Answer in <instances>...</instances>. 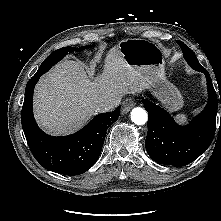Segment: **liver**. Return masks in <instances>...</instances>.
Returning <instances> with one entry per match:
<instances>
[{
    "label": "liver",
    "instance_id": "6515ba94",
    "mask_svg": "<svg viewBox=\"0 0 221 221\" xmlns=\"http://www.w3.org/2000/svg\"><path fill=\"white\" fill-rule=\"evenodd\" d=\"M144 88L143 78L126 63L116 46L107 53L103 71L94 80L73 60L62 62L43 76L35 88V118L47 133L69 134L102 111L98 107L101 99L122 97Z\"/></svg>",
    "mask_w": 221,
    "mask_h": 221
}]
</instances>
